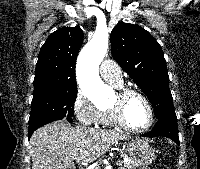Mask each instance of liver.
Returning <instances> with one entry per match:
<instances>
[{"instance_id":"liver-1","label":"liver","mask_w":200,"mask_h":169,"mask_svg":"<svg viewBox=\"0 0 200 169\" xmlns=\"http://www.w3.org/2000/svg\"><path fill=\"white\" fill-rule=\"evenodd\" d=\"M129 136L111 130L71 127L57 121L37 129L30 139L32 169H75L78 164L91 163L113 144Z\"/></svg>"}]
</instances>
